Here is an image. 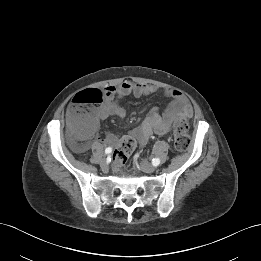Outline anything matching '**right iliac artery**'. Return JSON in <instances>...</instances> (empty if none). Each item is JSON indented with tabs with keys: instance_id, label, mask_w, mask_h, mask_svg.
I'll return each instance as SVG.
<instances>
[{
	"instance_id": "right-iliac-artery-1",
	"label": "right iliac artery",
	"mask_w": 261,
	"mask_h": 261,
	"mask_svg": "<svg viewBox=\"0 0 261 261\" xmlns=\"http://www.w3.org/2000/svg\"><path fill=\"white\" fill-rule=\"evenodd\" d=\"M112 152V148L108 147L105 149V154H110Z\"/></svg>"
}]
</instances>
